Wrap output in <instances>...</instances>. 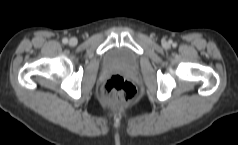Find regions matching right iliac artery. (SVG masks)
I'll list each match as a JSON object with an SVG mask.
<instances>
[{
  "label": "right iliac artery",
  "mask_w": 238,
  "mask_h": 145,
  "mask_svg": "<svg viewBox=\"0 0 238 145\" xmlns=\"http://www.w3.org/2000/svg\"><path fill=\"white\" fill-rule=\"evenodd\" d=\"M62 42H63L64 44H67V43H68V39H67V38H64V39L62 40Z\"/></svg>",
  "instance_id": "obj_1"
}]
</instances>
